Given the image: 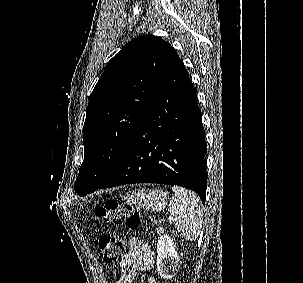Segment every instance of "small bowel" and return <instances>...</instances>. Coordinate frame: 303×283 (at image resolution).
<instances>
[{"instance_id":"small-bowel-1","label":"small bowel","mask_w":303,"mask_h":283,"mask_svg":"<svg viewBox=\"0 0 303 283\" xmlns=\"http://www.w3.org/2000/svg\"><path fill=\"white\" fill-rule=\"evenodd\" d=\"M153 253L148 245L136 238L130 239V248L119 263L121 275L116 283H132L138 270H147L151 267ZM148 283H154L152 279Z\"/></svg>"}]
</instances>
